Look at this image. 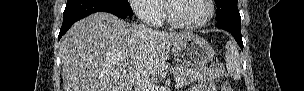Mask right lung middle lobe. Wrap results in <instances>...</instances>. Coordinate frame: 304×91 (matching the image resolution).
<instances>
[{
    "label": "right lung middle lobe",
    "mask_w": 304,
    "mask_h": 91,
    "mask_svg": "<svg viewBox=\"0 0 304 91\" xmlns=\"http://www.w3.org/2000/svg\"><path fill=\"white\" fill-rule=\"evenodd\" d=\"M116 7L122 9L128 15L132 16V9L128 3V0H113Z\"/></svg>",
    "instance_id": "1"
}]
</instances>
